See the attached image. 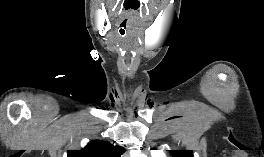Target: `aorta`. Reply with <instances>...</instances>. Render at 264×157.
I'll return each mask as SVG.
<instances>
[{
    "mask_svg": "<svg viewBox=\"0 0 264 157\" xmlns=\"http://www.w3.org/2000/svg\"><path fill=\"white\" fill-rule=\"evenodd\" d=\"M132 157H142L138 152L131 153Z\"/></svg>",
    "mask_w": 264,
    "mask_h": 157,
    "instance_id": "1",
    "label": "aorta"
}]
</instances>
